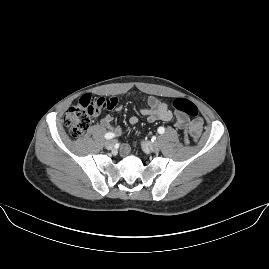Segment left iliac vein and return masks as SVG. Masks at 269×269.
<instances>
[{"instance_id": "4c4485c4", "label": "left iliac vein", "mask_w": 269, "mask_h": 269, "mask_svg": "<svg viewBox=\"0 0 269 269\" xmlns=\"http://www.w3.org/2000/svg\"><path fill=\"white\" fill-rule=\"evenodd\" d=\"M148 145L151 151L158 152L161 149L160 143L158 141L149 143Z\"/></svg>"}]
</instances>
